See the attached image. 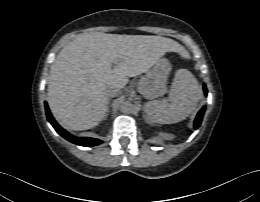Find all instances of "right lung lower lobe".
Here are the masks:
<instances>
[{
    "label": "right lung lower lobe",
    "mask_w": 260,
    "mask_h": 202,
    "mask_svg": "<svg viewBox=\"0 0 260 202\" xmlns=\"http://www.w3.org/2000/svg\"><path fill=\"white\" fill-rule=\"evenodd\" d=\"M45 109H46V115H47L48 121L54 127L56 132L58 134H60L62 137H64L65 139H67L68 141H70L74 144H77V145L85 146V147H91V146H95V145L102 143V141L99 139L88 138V137L77 138V137L72 136L71 134H69L67 131H65L63 128H61L57 124V122L54 120V118L52 117V115L50 113L47 103H45Z\"/></svg>",
    "instance_id": "98d812e1"
}]
</instances>
